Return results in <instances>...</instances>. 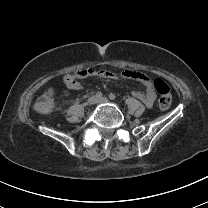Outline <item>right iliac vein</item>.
<instances>
[{"instance_id": "63e3f726", "label": "right iliac vein", "mask_w": 208, "mask_h": 208, "mask_svg": "<svg viewBox=\"0 0 208 208\" xmlns=\"http://www.w3.org/2000/svg\"><path fill=\"white\" fill-rule=\"evenodd\" d=\"M96 101H97L96 97L95 96H91V97L88 98L87 104L88 105H94L96 103Z\"/></svg>"}]
</instances>
